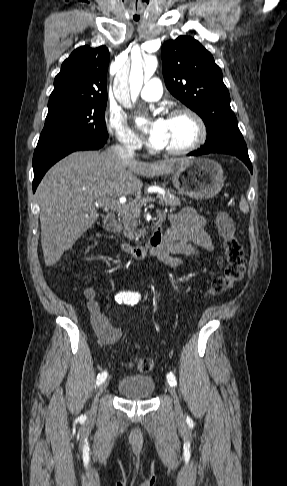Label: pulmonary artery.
<instances>
[{
	"label": "pulmonary artery",
	"mask_w": 287,
	"mask_h": 486,
	"mask_svg": "<svg viewBox=\"0 0 287 486\" xmlns=\"http://www.w3.org/2000/svg\"><path fill=\"white\" fill-rule=\"evenodd\" d=\"M162 95V86L159 79L149 80L142 88L140 96L146 101H157Z\"/></svg>",
	"instance_id": "pulmonary-artery-1"
}]
</instances>
